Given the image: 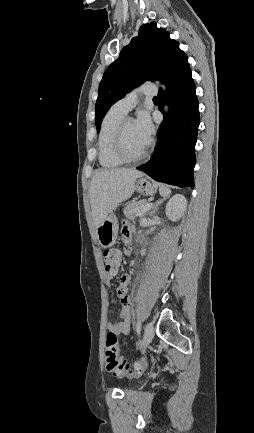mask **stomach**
<instances>
[{"instance_id": "1", "label": "stomach", "mask_w": 254, "mask_h": 433, "mask_svg": "<svg viewBox=\"0 0 254 433\" xmlns=\"http://www.w3.org/2000/svg\"><path fill=\"white\" fill-rule=\"evenodd\" d=\"M135 189L145 195L150 196L156 192L155 184L145 178H139L136 182ZM97 239L104 248L113 246L118 235V222L116 216L111 213L96 228Z\"/></svg>"}]
</instances>
